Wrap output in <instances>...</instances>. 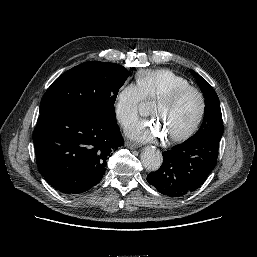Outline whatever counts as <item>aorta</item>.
I'll return each mask as SVG.
<instances>
[{"label": "aorta", "instance_id": "762f6f07", "mask_svg": "<svg viewBox=\"0 0 257 257\" xmlns=\"http://www.w3.org/2000/svg\"><path fill=\"white\" fill-rule=\"evenodd\" d=\"M145 106H140V112H144ZM141 162L145 169L156 171L162 164V154L159 150L153 147H146L141 153Z\"/></svg>", "mask_w": 257, "mask_h": 257}]
</instances>
